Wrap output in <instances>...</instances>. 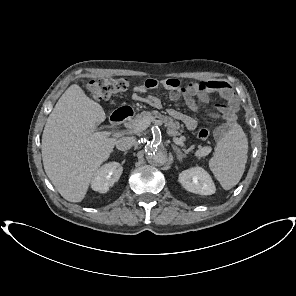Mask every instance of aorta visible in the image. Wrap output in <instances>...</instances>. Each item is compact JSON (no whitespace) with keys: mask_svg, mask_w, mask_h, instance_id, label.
Wrapping results in <instances>:
<instances>
[{"mask_svg":"<svg viewBox=\"0 0 296 296\" xmlns=\"http://www.w3.org/2000/svg\"><path fill=\"white\" fill-rule=\"evenodd\" d=\"M144 151L147 161L152 165L162 166L168 161V152L161 145L149 142L145 145Z\"/></svg>","mask_w":296,"mask_h":296,"instance_id":"1","label":"aorta"}]
</instances>
